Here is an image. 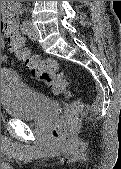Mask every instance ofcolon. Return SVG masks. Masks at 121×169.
<instances>
[{
    "instance_id": "5ec220e1",
    "label": "colon",
    "mask_w": 121,
    "mask_h": 169,
    "mask_svg": "<svg viewBox=\"0 0 121 169\" xmlns=\"http://www.w3.org/2000/svg\"><path fill=\"white\" fill-rule=\"evenodd\" d=\"M8 49L15 53L20 60L31 70L34 79L43 82L56 95L68 97L70 92L68 84L58 64L53 59H42L33 55L25 47L24 40L16 30H9L4 33ZM82 109L80 102L69 104L52 128V137L58 143L67 142L72 134L73 121Z\"/></svg>"
}]
</instances>
